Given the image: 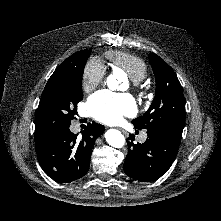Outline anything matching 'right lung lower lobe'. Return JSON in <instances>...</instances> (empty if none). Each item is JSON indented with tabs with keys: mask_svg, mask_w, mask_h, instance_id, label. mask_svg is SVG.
<instances>
[{
	"mask_svg": "<svg viewBox=\"0 0 221 221\" xmlns=\"http://www.w3.org/2000/svg\"><path fill=\"white\" fill-rule=\"evenodd\" d=\"M104 131L103 125L89 123L81 139L69 130V126L43 134L36 147L41 168L50 178L61 183L83 177L90 166L95 140Z\"/></svg>",
	"mask_w": 221,
	"mask_h": 221,
	"instance_id": "1",
	"label": "right lung lower lobe"
}]
</instances>
